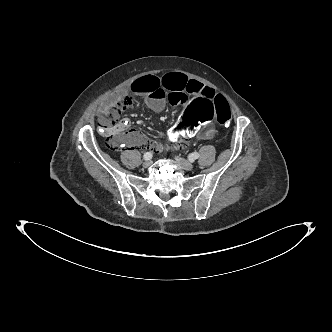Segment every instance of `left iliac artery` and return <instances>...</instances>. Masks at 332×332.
<instances>
[{"label":"left iliac artery","instance_id":"obj_1","mask_svg":"<svg viewBox=\"0 0 332 332\" xmlns=\"http://www.w3.org/2000/svg\"><path fill=\"white\" fill-rule=\"evenodd\" d=\"M199 158V154L197 152H194V153H191L189 154L188 156V159L193 162L194 160L198 159Z\"/></svg>","mask_w":332,"mask_h":332}]
</instances>
